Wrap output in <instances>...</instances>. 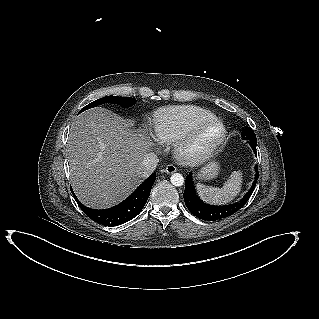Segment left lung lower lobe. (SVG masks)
Instances as JSON below:
<instances>
[{
	"label": "left lung lower lobe",
	"instance_id": "obj_1",
	"mask_svg": "<svg viewBox=\"0 0 319 319\" xmlns=\"http://www.w3.org/2000/svg\"><path fill=\"white\" fill-rule=\"evenodd\" d=\"M257 157L256 145H250ZM255 179L252 183L251 189L245 194V196L237 203L227 206H213L205 204L200 198L197 196L193 181L192 174L186 177L185 191H184V201L189 209V211L196 217L206 220V221H215L220 220L230 215H233L237 211H239L249 200L251 194L253 193L256 182L258 179V168L255 167Z\"/></svg>",
	"mask_w": 319,
	"mask_h": 319
}]
</instances>
